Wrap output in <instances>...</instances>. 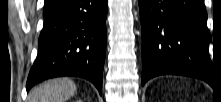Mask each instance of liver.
<instances>
[{"mask_svg": "<svg viewBox=\"0 0 221 102\" xmlns=\"http://www.w3.org/2000/svg\"><path fill=\"white\" fill-rule=\"evenodd\" d=\"M75 83L68 78L48 80L33 89L29 102H65L76 94Z\"/></svg>", "mask_w": 221, "mask_h": 102, "instance_id": "1", "label": "liver"}]
</instances>
